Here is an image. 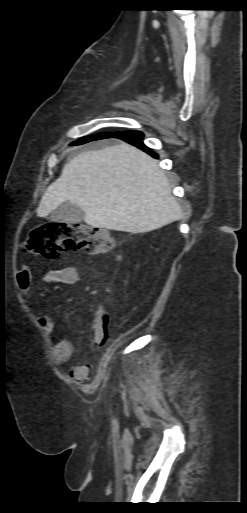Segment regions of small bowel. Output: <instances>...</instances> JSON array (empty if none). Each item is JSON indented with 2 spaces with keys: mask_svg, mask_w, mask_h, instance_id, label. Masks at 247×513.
Wrapping results in <instances>:
<instances>
[{
  "mask_svg": "<svg viewBox=\"0 0 247 513\" xmlns=\"http://www.w3.org/2000/svg\"><path fill=\"white\" fill-rule=\"evenodd\" d=\"M32 281V271L28 266L20 269L17 274V282L23 293H29ZM79 281V273L75 267H65L50 272L44 279L46 285L53 284H75ZM37 322L51 339L53 359L58 364L66 363L73 355L72 342L67 339H56L54 337L55 322L47 314H37ZM70 376L77 382L85 381L90 376V368L84 362L72 369Z\"/></svg>",
  "mask_w": 247,
  "mask_h": 513,
  "instance_id": "obj_1",
  "label": "small bowel"
}]
</instances>
